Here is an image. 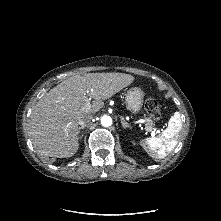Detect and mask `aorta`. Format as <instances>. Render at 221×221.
<instances>
[{
    "instance_id": "762f6f07",
    "label": "aorta",
    "mask_w": 221,
    "mask_h": 221,
    "mask_svg": "<svg viewBox=\"0 0 221 221\" xmlns=\"http://www.w3.org/2000/svg\"><path fill=\"white\" fill-rule=\"evenodd\" d=\"M102 126L109 127L112 125V118L108 115H103L100 119Z\"/></svg>"
}]
</instances>
